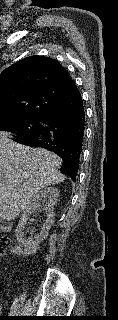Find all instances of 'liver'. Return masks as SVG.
Segmentation results:
<instances>
[{
	"mask_svg": "<svg viewBox=\"0 0 118 320\" xmlns=\"http://www.w3.org/2000/svg\"><path fill=\"white\" fill-rule=\"evenodd\" d=\"M62 160L43 148L14 142L0 132V218L12 220L30 205L39 191L65 180Z\"/></svg>",
	"mask_w": 118,
	"mask_h": 320,
	"instance_id": "liver-1",
	"label": "liver"
}]
</instances>
